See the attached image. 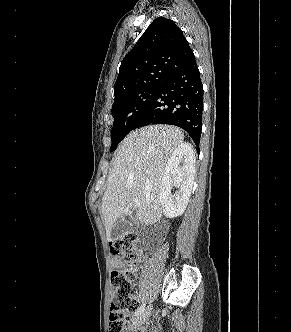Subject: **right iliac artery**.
I'll return each instance as SVG.
<instances>
[{"instance_id":"1","label":"right iliac artery","mask_w":291,"mask_h":332,"mask_svg":"<svg viewBox=\"0 0 291 332\" xmlns=\"http://www.w3.org/2000/svg\"><path fill=\"white\" fill-rule=\"evenodd\" d=\"M144 308H145V303H143L141 307L138 308V310L135 312V316L140 315L144 311Z\"/></svg>"}]
</instances>
